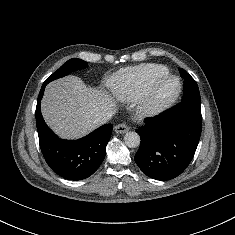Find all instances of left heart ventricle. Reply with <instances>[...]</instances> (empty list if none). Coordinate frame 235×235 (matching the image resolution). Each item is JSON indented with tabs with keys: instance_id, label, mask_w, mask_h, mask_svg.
I'll return each instance as SVG.
<instances>
[{
	"instance_id": "1",
	"label": "left heart ventricle",
	"mask_w": 235,
	"mask_h": 235,
	"mask_svg": "<svg viewBox=\"0 0 235 235\" xmlns=\"http://www.w3.org/2000/svg\"><path fill=\"white\" fill-rule=\"evenodd\" d=\"M176 89V83L174 81H167L159 85L156 90V97L164 99L169 97Z\"/></svg>"
}]
</instances>
